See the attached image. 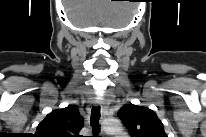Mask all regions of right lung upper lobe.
<instances>
[{
    "label": "right lung upper lobe",
    "instance_id": "cb5924a9",
    "mask_svg": "<svg viewBox=\"0 0 206 137\" xmlns=\"http://www.w3.org/2000/svg\"><path fill=\"white\" fill-rule=\"evenodd\" d=\"M83 128V117L78 107L69 105L49 113L37 126V137H77Z\"/></svg>",
    "mask_w": 206,
    "mask_h": 137
}]
</instances>
